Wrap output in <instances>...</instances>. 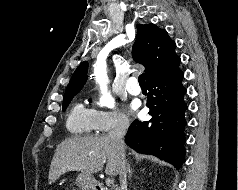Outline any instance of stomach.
Wrapping results in <instances>:
<instances>
[{
    "mask_svg": "<svg viewBox=\"0 0 238 190\" xmlns=\"http://www.w3.org/2000/svg\"><path fill=\"white\" fill-rule=\"evenodd\" d=\"M76 185L81 190H96V180L93 176L80 173L76 178Z\"/></svg>",
    "mask_w": 238,
    "mask_h": 190,
    "instance_id": "1",
    "label": "stomach"
}]
</instances>
